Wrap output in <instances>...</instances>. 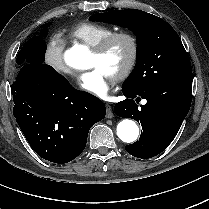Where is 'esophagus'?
Instances as JSON below:
<instances>
[{"label": "esophagus", "instance_id": "34e87169", "mask_svg": "<svg viewBox=\"0 0 209 209\" xmlns=\"http://www.w3.org/2000/svg\"><path fill=\"white\" fill-rule=\"evenodd\" d=\"M114 113L112 111V107L109 104H106V118H113Z\"/></svg>", "mask_w": 209, "mask_h": 209}]
</instances>
